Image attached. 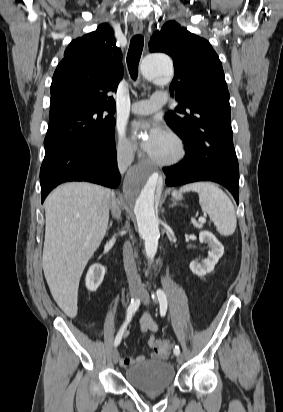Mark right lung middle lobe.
<instances>
[{"mask_svg": "<svg viewBox=\"0 0 283 412\" xmlns=\"http://www.w3.org/2000/svg\"><path fill=\"white\" fill-rule=\"evenodd\" d=\"M113 114L114 111L97 106L72 105L64 114L49 115L45 151L71 142L91 145L112 143L115 126Z\"/></svg>", "mask_w": 283, "mask_h": 412, "instance_id": "right-lung-middle-lobe-1", "label": "right lung middle lobe"}]
</instances>
